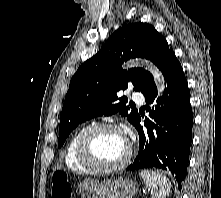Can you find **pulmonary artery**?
<instances>
[{
  "label": "pulmonary artery",
  "mask_w": 221,
  "mask_h": 198,
  "mask_svg": "<svg viewBox=\"0 0 221 198\" xmlns=\"http://www.w3.org/2000/svg\"><path fill=\"white\" fill-rule=\"evenodd\" d=\"M131 97H132V99H133L134 101H137V102H140V103H142L143 100H144V96H143V94L140 93V92H133L132 95H131Z\"/></svg>",
  "instance_id": "obj_1"
}]
</instances>
